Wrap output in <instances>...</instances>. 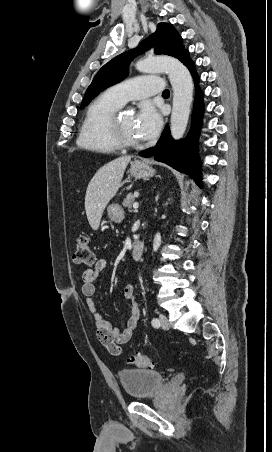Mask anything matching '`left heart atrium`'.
<instances>
[{
    "instance_id": "39dd6f15",
    "label": "left heart atrium",
    "mask_w": 272,
    "mask_h": 452,
    "mask_svg": "<svg viewBox=\"0 0 272 452\" xmlns=\"http://www.w3.org/2000/svg\"><path fill=\"white\" fill-rule=\"evenodd\" d=\"M161 125L162 119L158 110L150 104L143 105L136 123L139 138L144 140L154 138L158 134Z\"/></svg>"
}]
</instances>
